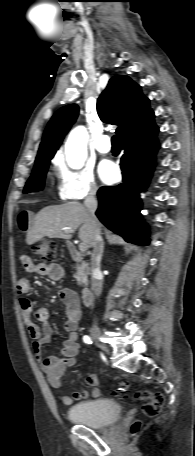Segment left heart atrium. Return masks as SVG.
Instances as JSON below:
<instances>
[{"mask_svg": "<svg viewBox=\"0 0 195 456\" xmlns=\"http://www.w3.org/2000/svg\"><path fill=\"white\" fill-rule=\"evenodd\" d=\"M98 174L104 183H113L118 176L117 166L109 160H103L98 166Z\"/></svg>", "mask_w": 195, "mask_h": 456, "instance_id": "1", "label": "left heart atrium"}]
</instances>
